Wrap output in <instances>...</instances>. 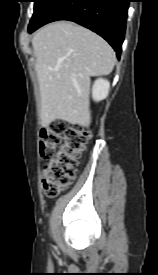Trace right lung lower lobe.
Listing matches in <instances>:
<instances>
[{"instance_id":"1","label":"right lung lower lobe","mask_w":158,"mask_h":275,"mask_svg":"<svg viewBox=\"0 0 158 275\" xmlns=\"http://www.w3.org/2000/svg\"><path fill=\"white\" fill-rule=\"evenodd\" d=\"M129 0H56L29 32L57 20L76 22L102 36L120 58Z\"/></svg>"}]
</instances>
